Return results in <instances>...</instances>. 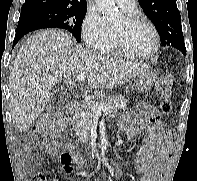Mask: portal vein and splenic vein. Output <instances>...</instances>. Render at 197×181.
Here are the masks:
<instances>
[{"label":"portal vein and splenic vein","mask_w":197,"mask_h":181,"mask_svg":"<svg viewBox=\"0 0 197 181\" xmlns=\"http://www.w3.org/2000/svg\"><path fill=\"white\" fill-rule=\"evenodd\" d=\"M76 78L79 81H84V80H86L87 75L83 74V73H80V74L77 75ZM92 110H93L94 116H100L102 114V112L104 114H107V113H110L112 111V109L109 108V107H100V106H95V105L92 106Z\"/></svg>","instance_id":"18ae733b"}]
</instances>
